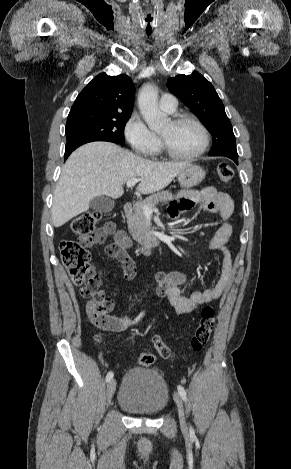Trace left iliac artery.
<instances>
[{
	"label": "left iliac artery",
	"mask_w": 291,
	"mask_h": 469,
	"mask_svg": "<svg viewBox=\"0 0 291 469\" xmlns=\"http://www.w3.org/2000/svg\"><path fill=\"white\" fill-rule=\"evenodd\" d=\"M177 389H178V392H179L180 396L182 397V399L186 402L187 401V396H186V391H185L184 387L181 386V385H178Z\"/></svg>",
	"instance_id": "left-iliac-artery-1"
}]
</instances>
